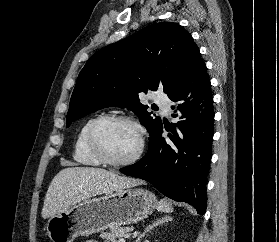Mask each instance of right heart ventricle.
<instances>
[{
	"label": "right heart ventricle",
	"mask_w": 279,
	"mask_h": 242,
	"mask_svg": "<svg viewBox=\"0 0 279 242\" xmlns=\"http://www.w3.org/2000/svg\"><path fill=\"white\" fill-rule=\"evenodd\" d=\"M96 119L90 118L81 126L74 142L73 159L81 166L97 167L102 165V162L91 151L88 143L89 129Z\"/></svg>",
	"instance_id": "right-heart-ventricle-1"
}]
</instances>
